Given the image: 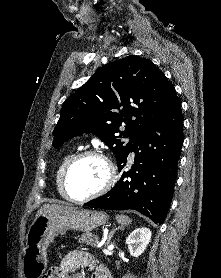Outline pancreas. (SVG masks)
<instances>
[{
	"instance_id": "cf45deb5",
	"label": "pancreas",
	"mask_w": 221,
	"mask_h": 278,
	"mask_svg": "<svg viewBox=\"0 0 221 278\" xmlns=\"http://www.w3.org/2000/svg\"><path fill=\"white\" fill-rule=\"evenodd\" d=\"M80 243H85L86 245H91L92 247H96L99 243V237L88 232L81 235L79 238Z\"/></svg>"
}]
</instances>
